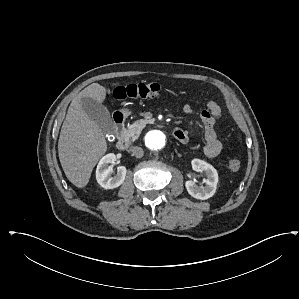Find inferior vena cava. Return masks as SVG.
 Listing matches in <instances>:
<instances>
[{"instance_id": "obj_1", "label": "inferior vena cava", "mask_w": 299, "mask_h": 299, "mask_svg": "<svg viewBox=\"0 0 299 299\" xmlns=\"http://www.w3.org/2000/svg\"><path fill=\"white\" fill-rule=\"evenodd\" d=\"M129 151L132 152L136 158H141L144 155V151L141 147L132 146L130 147Z\"/></svg>"}]
</instances>
